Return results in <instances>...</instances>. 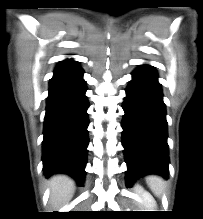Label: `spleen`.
<instances>
[{"label": "spleen", "instance_id": "1", "mask_svg": "<svg viewBox=\"0 0 203 219\" xmlns=\"http://www.w3.org/2000/svg\"><path fill=\"white\" fill-rule=\"evenodd\" d=\"M146 182L156 196L162 195L165 189V182L161 177L155 175L148 176Z\"/></svg>", "mask_w": 203, "mask_h": 219}]
</instances>
